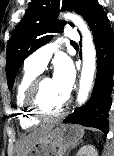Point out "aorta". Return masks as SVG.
<instances>
[{"label":"aorta","mask_w":114,"mask_h":156,"mask_svg":"<svg viewBox=\"0 0 114 156\" xmlns=\"http://www.w3.org/2000/svg\"><path fill=\"white\" fill-rule=\"evenodd\" d=\"M66 20L72 21L82 34V71L80 77L77 102L82 105L86 102L94 80L96 69V50L93 44L92 34L85 21L76 14H64Z\"/></svg>","instance_id":"aorta-1"}]
</instances>
